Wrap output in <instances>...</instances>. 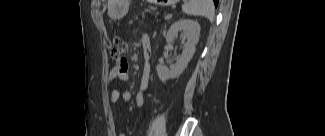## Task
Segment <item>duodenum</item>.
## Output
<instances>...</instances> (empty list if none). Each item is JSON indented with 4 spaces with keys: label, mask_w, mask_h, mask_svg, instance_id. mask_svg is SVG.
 <instances>
[{
    "label": "duodenum",
    "mask_w": 325,
    "mask_h": 136,
    "mask_svg": "<svg viewBox=\"0 0 325 136\" xmlns=\"http://www.w3.org/2000/svg\"><path fill=\"white\" fill-rule=\"evenodd\" d=\"M143 46H144V54H145V56H147V48H148V46L144 43V41H143Z\"/></svg>",
    "instance_id": "duodenum-1"
}]
</instances>
